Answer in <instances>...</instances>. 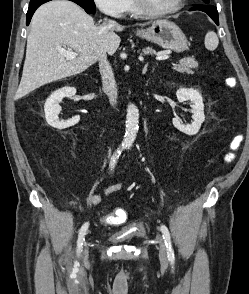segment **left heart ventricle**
Wrapping results in <instances>:
<instances>
[{"instance_id": "obj_1", "label": "left heart ventricle", "mask_w": 249, "mask_h": 294, "mask_svg": "<svg viewBox=\"0 0 249 294\" xmlns=\"http://www.w3.org/2000/svg\"><path fill=\"white\" fill-rule=\"evenodd\" d=\"M148 7L153 10H166L173 7L178 0H145Z\"/></svg>"}]
</instances>
